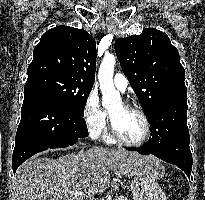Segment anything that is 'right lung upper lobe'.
Listing matches in <instances>:
<instances>
[{"label": "right lung upper lobe", "instance_id": "obj_1", "mask_svg": "<svg viewBox=\"0 0 205 200\" xmlns=\"http://www.w3.org/2000/svg\"><path fill=\"white\" fill-rule=\"evenodd\" d=\"M96 42L83 29L58 26L46 31L33 51L28 79L57 74L93 86Z\"/></svg>", "mask_w": 205, "mask_h": 200}]
</instances>
